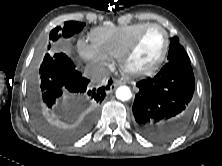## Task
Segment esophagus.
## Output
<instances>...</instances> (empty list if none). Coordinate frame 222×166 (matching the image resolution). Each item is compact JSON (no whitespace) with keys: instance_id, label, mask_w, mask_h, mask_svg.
<instances>
[{"instance_id":"1","label":"esophagus","mask_w":222,"mask_h":166,"mask_svg":"<svg viewBox=\"0 0 222 166\" xmlns=\"http://www.w3.org/2000/svg\"><path fill=\"white\" fill-rule=\"evenodd\" d=\"M122 84H123V82L121 80H118V79H114L113 80L114 87H118V86H120Z\"/></svg>"}]
</instances>
